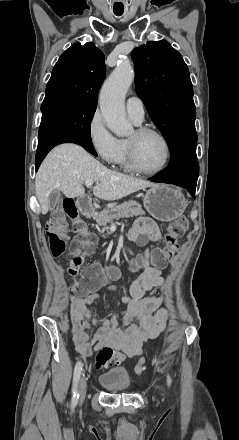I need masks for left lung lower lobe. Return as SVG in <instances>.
I'll return each mask as SVG.
<instances>
[{"mask_svg": "<svg viewBox=\"0 0 239 440\" xmlns=\"http://www.w3.org/2000/svg\"><path fill=\"white\" fill-rule=\"evenodd\" d=\"M197 136L180 140L171 149V159L165 173L150 178L153 182H164L181 186L195 198L199 166L196 158Z\"/></svg>", "mask_w": 239, "mask_h": 440, "instance_id": "1", "label": "left lung lower lobe"}]
</instances>
